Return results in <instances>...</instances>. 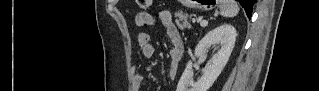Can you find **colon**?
Here are the masks:
<instances>
[{
    "label": "colon",
    "instance_id": "colon-1",
    "mask_svg": "<svg viewBox=\"0 0 319 91\" xmlns=\"http://www.w3.org/2000/svg\"><path fill=\"white\" fill-rule=\"evenodd\" d=\"M153 1L151 0H139V6L144 9L147 10L151 7Z\"/></svg>",
    "mask_w": 319,
    "mask_h": 91
}]
</instances>
